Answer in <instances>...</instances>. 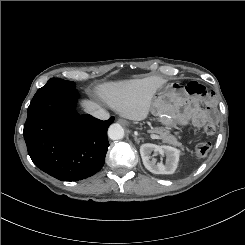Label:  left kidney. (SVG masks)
I'll return each instance as SVG.
<instances>
[{
    "mask_svg": "<svg viewBox=\"0 0 245 245\" xmlns=\"http://www.w3.org/2000/svg\"><path fill=\"white\" fill-rule=\"evenodd\" d=\"M158 153L166 156V163H156L155 159L151 160V153ZM140 154L143 164L147 170L154 174H173L177 168L180 151L170 146H158L155 144H143L140 147Z\"/></svg>",
    "mask_w": 245,
    "mask_h": 245,
    "instance_id": "obj_1",
    "label": "left kidney"
}]
</instances>
